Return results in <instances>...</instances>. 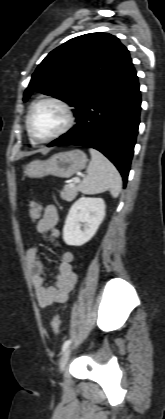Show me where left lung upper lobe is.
Returning a JSON list of instances; mask_svg holds the SVG:
<instances>
[{"label": "left lung upper lobe", "mask_w": 165, "mask_h": 419, "mask_svg": "<svg viewBox=\"0 0 165 419\" xmlns=\"http://www.w3.org/2000/svg\"><path fill=\"white\" fill-rule=\"evenodd\" d=\"M130 61L129 51L113 35L78 36L51 51L38 65L23 101L39 91L75 107L76 115L83 103Z\"/></svg>", "instance_id": "5c2ea615"}]
</instances>
